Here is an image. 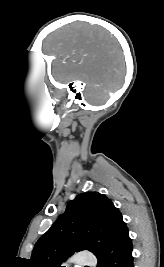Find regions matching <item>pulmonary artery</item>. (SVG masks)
I'll return each instance as SVG.
<instances>
[{"mask_svg": "<svg viewBox=\"0 0 164 267\" xmlns=\"http://www.w3.org/2000/svg\"><path fill=\"white\" fill-rule=\"evenodd\" d=\"M74 263L79 266L83 267L84 265H94L95 258L91 255H83L74 260Z\"/></svg>", "mask_w": 164, "mask_h": 267, "instance_id": "obj_1", "label": "pulmonary artery"}]
</instances>
